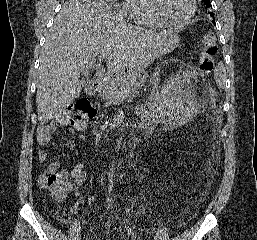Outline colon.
<instances>
[{
	"mask_svg": "<svg viewBox=\"0 0 257 240\" xmlns=\"http://www.w3.org/2000/svg\"><path fill=\"white\" fill-rule=\"evenodd\" d=\"M217 54L216 36L205 33L201 39L199 52V68L205 74L213 72L215 67V57ZM96 115V109L88 100H80L73 110L67 111V124L71 131L83 129L87 120ZM42 128L51 129L50 124H45ZM41 183L50 191L51 196L56 200L63 199L71 189V183L64 172H48L41 178Z\"/></svg>",
	"mask_w": 257,
	"mask_h": 240,
	"instance_id": "obj_1",
	"label": "colon"
}]
</instances>
